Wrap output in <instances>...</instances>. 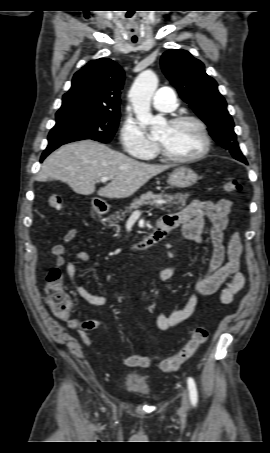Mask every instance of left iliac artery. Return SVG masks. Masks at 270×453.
I'll list each match as a JSON object with an SVG mask.
<instances>
[{"instance_id": "44dca946", "label": "left iliac artery", "mask_w": 270, "mask_h": 453, "mask_svg": "<svg viewBox=\"0 0 270 453\" xmlns=\"http://www.w3.org/2000/svg\"><path fill=\"white\" fill-rule=\"evenodd\" d=\"M187 383H188V389H189L191 403L193 406H196L197 401H198L196 383H195L194 379L191 377L188 378Z\"/></svg>"}]
</instances>
